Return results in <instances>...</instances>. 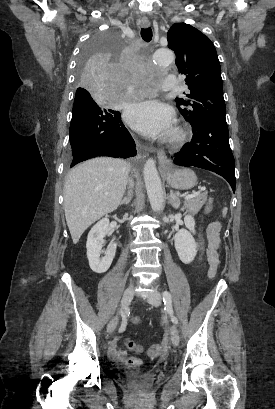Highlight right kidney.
Instances as JSON below:
<instances>
[{"instance_id": "1", "label": "right kidney", "mask_w": 275, "mask_h": 409, "mask_svg": "<svg viewBox=\"0 0 275 409\" xmlns=\"http://www.w3.org/2000/svg\"><path fill=\"white\" fill-rule=\"evenodd\" d=\"M113 231L109 227V219H101L94 227H92L90 233H88L86 249L87 259L89 261V267L94 273H106L108 271L116 253V243H111L107 251H105V257L100 259L105 235H112Z\"/></svg>"}]
</instances>
